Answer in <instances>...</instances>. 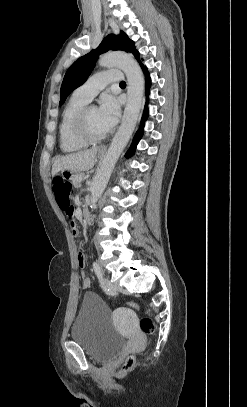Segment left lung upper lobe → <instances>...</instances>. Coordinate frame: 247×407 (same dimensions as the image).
Returning a JSON list of instances; mask_svg holds the SVG:
<instances>
[{
	"label": "left lung upper lobe",
	"instance_id": "obj_1",
	"mask_svg": "<svg viewBox=\"0 0 247 407\" xmlns=\"http://www.w3.org/2000/svg\"><path fill=\"white\" fill-rule=\"evenodd\" d=\"M109 50L130 52L137 60L140 57L139 52L134 46V42L130 40L124 32H121L118 37L115 35H108L96 50H92L90 53L80 57L67 70L60 90V105L65 102L66 98L73 90L87 80L99 55Z\"/></svg>",
	"mask_w": 247,
	"mask_h": 407
}]
</instances>
